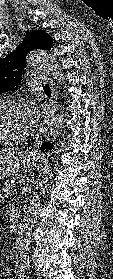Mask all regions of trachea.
<instances>
[{
    "instance_id": "1",
    "label": "trachea",
    "mask_w": 113,
    "mask_h": 279,
    "mask_svg": "<svg viewBox=\"0 0 113 279\" xmlns=\"http://www.w3.org/2000/svg\"><path fill=\"white\" fill-rule=\"evenodd\" d=\"M44 88L49 90V86L48 85H46Z\"/></svg>"
}]
</instances>
